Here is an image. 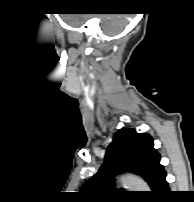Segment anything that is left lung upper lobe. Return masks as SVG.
Segmentation results:
<instances>
[{
    "label": "left lung upper lobe",
    "instance_id": "1",
    "mask_svg": "<svg viewBox=\"0 0 194 202\" xmlns=\"http://www.w3.org/2000/svg\"><path fill=\"white\" fill-rule=\"evenodd\" d=\"M153 138L147 133H137L135 129H120L109 145L105 162L99 171L80 189L88 199L108 201L124 190H114L116 169L139 174L153 188L163 169L160 154L154 148Z\"/></svg>",
    "mask_w": 194,
    "mask_h": 202
}]
</instances>
